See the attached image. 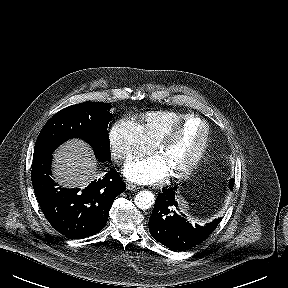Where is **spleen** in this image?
I'll return each mask as SVG.
<instances>
[{"mask_svg": "<svg viewBox=\"0 0 288 288\" xmlns=\"http://www.w3.org/2000/svg\"><path fill=\"white\" fill-rule=\"evenodd\" d=\"M179 202H180V206H181L182 211L186 213L188 210V206L186 204V201L182 197H180Z\"/></svg>", "mask_w": 288, "mask_h": 288, "instance_id": "1", "label": "spleen"}]
</instances>
